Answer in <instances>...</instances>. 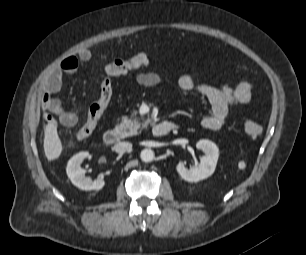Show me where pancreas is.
<instances>
[{"label":"pancreas","mask_w":306,"mask_h":255,"mask_svg":"<svg viewBox=\"0 0 306 255\" xmlns=\"http://www.w3.org/2000/svg\"><path fill=\"white\" fill-rule=\"evenodd\" d=\"M149 119L144 117H127L123 116L121 123L117 126L120 131L121 138L129 137L138 134L140 130L147 128Z\"/></svg>","instance_id":"cf45deb5"}]
</instances>
